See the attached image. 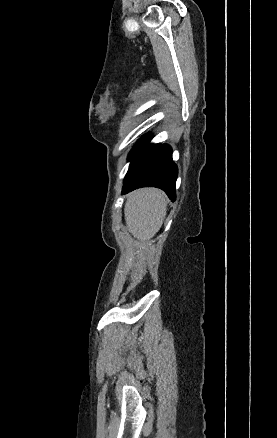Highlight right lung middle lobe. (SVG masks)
Instances as JSON below:
<instances>
[{"label": "right lung middle lobe", "instance_id": "obj_1", "mask_svg": "<svg viewBox=\"0 0 277 438\" xmlns=\"http://www.w3.org/2000/svg\"><path fill=\"white\" fill-rule=\"evenodd\" d=\"M150 139L151 138L149 136L143 137L132 149L128 157V160L131 161L130 168L135 163V161L140 157L143 151L147 148Z\"/></svg>", "mask_w": 277, "mask_h": 438}]
</instances>
